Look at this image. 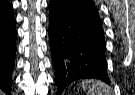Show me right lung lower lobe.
Segmentation results:
<instances>
[{
  "label": "right lung lower lobe",
  "mask_w": 135,
  "mask_h": 95,
  "mask_svg": "<svg viewBox=\"0 0 135 95\" xmlns=\"http://www.w3.org/2000/svg\"><path fill=\"white\" fill-rule=\"evenodd\" d=\"M16 53V29L13 13L0 16V89L10 94L11 73Z\"/></svg>",
  "instance_id": "98d812e1"
}]
</instances>
